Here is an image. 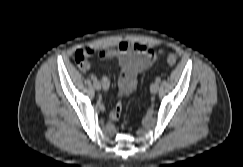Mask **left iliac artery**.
Here are the masks:
<instances>
[{
  "instance_id": "left-iliac-artery-1",
  "label": "left iliac artery",
  "mask_w": 243,
  "mask_h": 167,
  "mask_svg": "<svg viewBox=\"0 0 243 167\" xmlns=\"http://www.w3.org/2000/svg\"><path fill=\"white\" fill-rule=\"evenodd\" d=\"M161 81V78L160 77H157L156 78V82L159 83Z\"/></svg>"
}]
</instances>
